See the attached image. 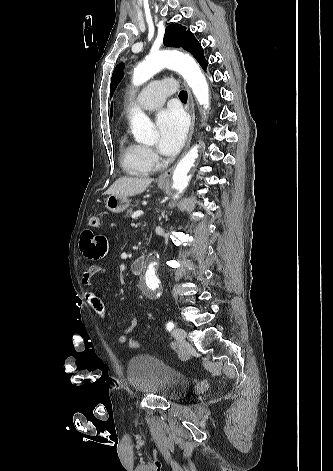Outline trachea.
<instances>
[{
  "label": "trachea",
  "mask_w": 333,
  "mask_h": 471,
  "mask_svg": "<svg viewBox=\"0 0 333 471\" xmlns=\"http://www.w3.org/2000/svg\"><path fill=\"white\" fill-rule=\"evenodd\" d=\"M179 99H180L181 101H187V92H186V91H181V92L179 93Z\"/></svg>",
  "instance_id": "1"
}]
</instances>
